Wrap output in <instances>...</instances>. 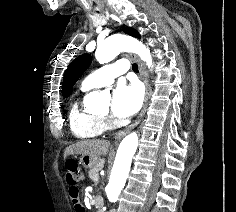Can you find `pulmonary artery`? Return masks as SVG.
<instances>
[{
    "label": "pulmonary artery",
    "mask_w": 236,
    "mask_h": 212,
    "mask_svg": "<svg viewBox=\"0 0 236 212\" xmlns=\"http://www.w3.org/2000/svg\"><path fill=\"white\" fill-rule=\"evenodd\" d=\"M128 69L129 64L124 59L114 64L105 65L87 75L82 82V86L88 89L109 86L117 76L126 72Z\"/></svg>",
    "instance_id": "pulmonary-artery-1"
}]
</instances>
